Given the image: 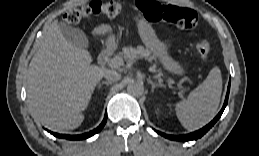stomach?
<instances>
[{"mask_svg":"<svg viewBox=\"0 0 259 156\" xmlns=\"http://www.w3.org/2000/svg\"><path fill=\"white\" fill-rule=\"evenodd\" d=\"M140 37L155 59H158L159 63L169 72L181 75L183 74L182 66L174 61L169 55V46L165 42H162L156 36L154 30L144 21H138L137 23Z\"/></svg>","mask_w":259,"mask_h":156,"instance_id":"1","label":"stomach"}]
</instances>
